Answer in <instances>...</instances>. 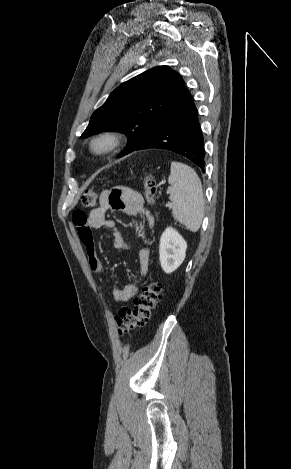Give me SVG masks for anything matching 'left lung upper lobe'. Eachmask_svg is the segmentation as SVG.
<instances>
[{
    "label": "left lung upper lobe",
    "instance_id": "obj_1",
    "mask_svg": "<svg viewBox=\"0 0 291 469\" xmlns=\"http://www.w3.org/2000/svg\"><path fill=\"white\" fill-rule=\"evenodd\" d=\"M182 77L169 66H157L122 83L92 115L82 138L102 131L125 133L130 152L169 114L187 93Z\"/></svg>",
    "mask_w": 291,
    "mask_h": 469
}]
</instances>
